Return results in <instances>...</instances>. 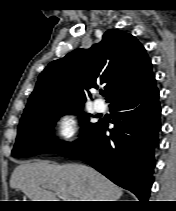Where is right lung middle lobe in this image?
<instances>
[{"label": "right lung middle lobe", "mask_w": 176, "mask_h": 211, "mask_svg": "<svg viewBox=\"0 0 176 211\" xmlns=\"http://www.w3.org/2000/svg\"><path fill=\"white\" fill-rule=\"evenodd\" d=\"M82 106L48 109L32 116L22 118L18 126V134L12 155L15 157H29L42 153H59L82 141L85 135L97 124L86 123L81 138L74 143L57 140L53 136L56 120L63 114H80L86 119L90 114L80 112Z\"/></svg>", "instance_id": "1"}]
</instances>
